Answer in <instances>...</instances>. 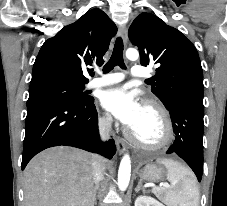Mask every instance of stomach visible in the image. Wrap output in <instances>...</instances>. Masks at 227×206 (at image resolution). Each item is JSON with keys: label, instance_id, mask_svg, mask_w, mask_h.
Instances as JSON below:
<instances>
[{"label": "stomach", "instance_id": "1", "mask_svg": "<svg viewBox=\"0 0 227 206\" xmlns=\"http://www.w3.org/2000/svg\"><path fill=\"white\" fill-rule=\"evenodd\" d=\"M165 174V170L160 165L154 163L146 164L139 172L138 175L141 179L150 181V182H157L163 179Z\"/></svg>", "mask_w": 227, "mask_h": 206}]
</instances>
